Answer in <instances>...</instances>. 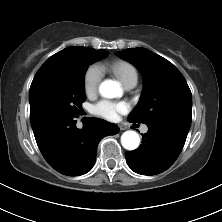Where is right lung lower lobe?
<instances>
[{
  "label": "right lung lower lobe",
  "mask_w": 222,
  "mask_h": 222,
  "mask_svg": "<svg viewBox=\"0 0 222 222\" xmlns=\"http://www.w3.org/2000/svg\"><path fill=\"white\" fill-rule=\"evenodd\" d=\"M74 118L52 116L32 127L45 160L56 171L68 176L89 172L95 163L99 141L119 131L117 125L97 118H89L83 128L78 129Z\"/></svg>",
  "instance_id": "1"
}]
</instances>
